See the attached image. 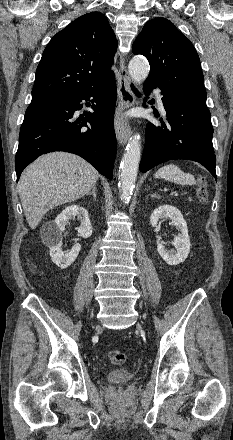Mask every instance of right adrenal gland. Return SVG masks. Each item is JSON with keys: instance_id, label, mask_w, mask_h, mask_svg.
Masks as SVG:
<instances>
[{"instance_id": "2a0ac1e0", "label": "right adrenal gland", "mask_w": 233, "mask_h": 440, "mask_svg": "<svg viewBox=\"0 0 233 440\" xmlns=\"http://www.w3.org/2000/svg\"><path fill=\"white\" fill-rule=\"evenodd\" d=\"M88 195H93V197L96 199L97 195H96V186L93 187L92 191L90 193H88Z\"/></svg>"}]
</instances>
